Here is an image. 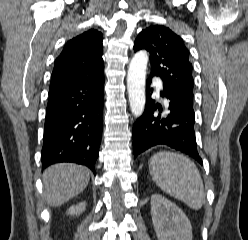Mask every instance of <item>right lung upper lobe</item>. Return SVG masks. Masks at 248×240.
I'll use <instances>...</instances> for the list:
<instances>
[{
  "mask_svg": "<svg viewBox=\"0 0 248 240\" xmlns=\"http://www.w3.org/2000/svg\"><path fill=\"white\" fill-rule=\"evenodd\" d=\"M102 34L90 29L68 41L56 58L50 90L103 74Z\"/></svg>",
  "mask_w": 248,
  "mask_h": 240,
  "instance_id": "1",
  "label": "right lung upper lobe"
}]
</instances>
